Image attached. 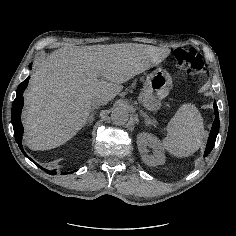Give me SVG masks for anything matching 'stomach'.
Instances as JSON below:
<instances>
[{
	"label": "stomach",
	"instance_id": "0dacf381",
	"mask_svg": "<svg viewBox=\"0 0 236 236\" xmlns=\"http://www.w3.org/2000/svg\"><path fill=\"white\" fill-rule=\"evenodd\" d=\"M172 88V78L166 70L157 69L150 73L143 87V106L156 111L160 108L161 100L165 98Z\"/></svg>",
	"mask_w": 236,
	"mask_h": 236
}]
</instances>
